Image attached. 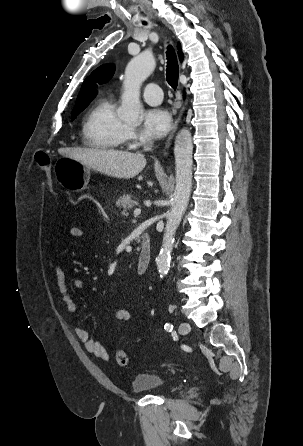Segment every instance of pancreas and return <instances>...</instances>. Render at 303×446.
Returning <instances> with one entry per match:
<instances>
[{
    "mask_svg": "<svg viewBox=\"0 0 303 446\" xmlns=\"http://www.w3.org/2000/svg\"><path fill=\"white\" fill-rule=\"evenodd\" d=\"M136 203L137 202L133 200L130 195H123L117 200L116 206L121 211L122 215H127V211L132 209Z\"/></svg>",
    "mask_w": 303,
    "mask_h": 446,
    "instance_id": "cf45deb5",
    "label": "pancreas"
}]
</instances>
